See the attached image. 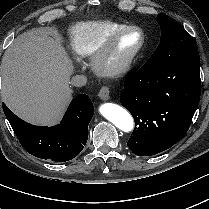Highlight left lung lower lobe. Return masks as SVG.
Returning a JSON list of instances; mask_svg holds the SVG:
<instances>
[{"label": "left lung lower lobe", "instance_id": "obj_1", "mask_svg": "<svg viewBox=\"0 0 209 209\" xmlns=\"http://www.w3.org/2000/svg\"><path fill=\"white\" fill-rule=\"evenodd\" d=\"M200 57L194 53L170 64H144L131 72L120 96L135 120L127 142L138 156L160 153L187 133L199 104Z\"/></svg>", "mask_w": 209, "mask_h": 209}]
</instances>
